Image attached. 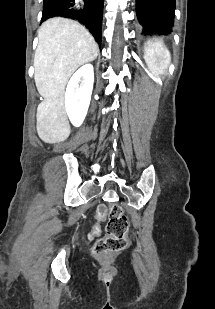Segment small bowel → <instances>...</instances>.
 I'll list each match as a JSON object with an SVG mask.
<instances>
[{
    "label": "small bowel",
    "mask_w": 215,
    "mask_h": 309,
    "mask_svg": "<svg viewBox=\"0 0 215 309\" xmlns=\"http://www.w3.org/2000/svg\"><path fill=\"white\" fill-rule=\"evenodd\" d=\"M97 217H98L99 220H102V219H104L105 216L97 215ZM94 230H95V231H98V230H99V227H98V226H95Z\"/></svg>",
    "instance_id": "small-bowel-1"
}]
</instances>
